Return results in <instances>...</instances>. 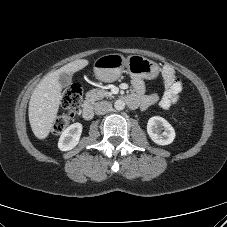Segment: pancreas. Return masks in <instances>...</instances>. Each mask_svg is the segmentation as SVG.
<instances>
[{
	"mask_svg": "<svg viewBox=\"0 0 227 227\" xmlns=\"http://www.w3.org/2000/svg\"><path fill=\"white\" fill-rule=\"evenodd\" d=\"M112 97H113L112 93L106 90L92 89L86 93V100L91 103H94L102 98H112Z\"/></svg>",
	"mask_w": 227,
	"mask_h": 227,
	"instance_id": "cf45deb5",
	"label": "pancreas"
}]
</instances>
